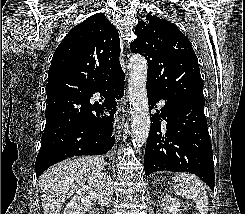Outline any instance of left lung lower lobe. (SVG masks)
<instances>
[{
  "label": "left lung lower lobe",
  "mask_w": 245,
  "mask_h": 214,
  "mask_svg": "<svg viewBox=\"0 0 245 214\" xmlns=\"http://www.w3.org/2000/svg\"><path fill=\"white\" fill-rule=\"evenodd\" d=\"M147 96L150 109L160 99L166 104L161 111L150 115L145 175L161 170L189 172L214 191L213 154L204 100L171 99L151 88H147ZM162 118L166 126L161 125Z\"/></svg>",
  "instance_id": "1"
}]
</instances>
